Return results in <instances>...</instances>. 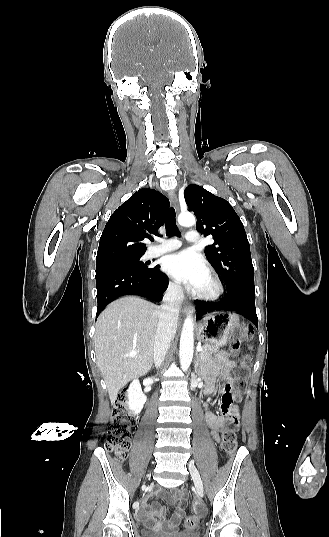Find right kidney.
<instances>
[{"label":"right kidney","mask_w":329,"mask_h":537,"mask_svg":"<svg viewBox=\"0 0 329 537\" xmlns=\"http://www.w3.org/2000/svg\"><path fill=\"white\" fill-rule=\"evenodd\" d=\"M127 404L132 413L138 414L146 403V396L143 394L138 379H134L127 390Z\"/></svg>","instance_id":"right-kidney-1"}]
</instances>
